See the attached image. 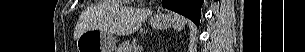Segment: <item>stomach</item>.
I'll use <instances>...</instances> for the list:
<instances>
[{
    "mask_svg": "<svg viewBox=\"0 0 305 52\" xmlns=\"http://www.w3.org/2000/svg\"><path fill=\"white\" fill-rule=\"evenodd\" d=\"M151 26L158 30L170 27L181 29L186 20L176 14H157L152 17ZM116 41L111 33L98 28L84 31L76 40L77 52H114Z\"/></svg>",
    "mask_w": 305,
    "mask_h": 52,
    "instance_id": "0dacf381",
    "label": "stomach"
}]
</instances>
